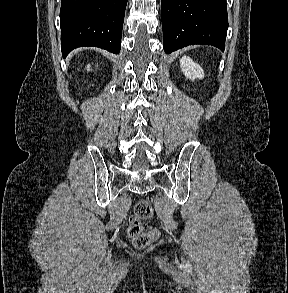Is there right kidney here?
Returning <instances> with one entry per match:
<instances>
[{
	"label": "right kidney",
	"mask_w": 288,
	"mask_h": 293,
	"mask_svg": "<svg viewBox=\"0 0 288 293\" xmlns=\"http://www.w3.org/2000/svg\"><path fill=\"white\" fill-rule=\"evenodd\" d=\"M89 70H90V65L87 66V71H89Z\"/></svg>",
	"instance_id": "obj_1"
}]
</instances>
